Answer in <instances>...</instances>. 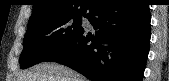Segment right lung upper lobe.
Wrapping results in <instances>:
<instances>
[{
  "label": "right lung upper lobe",
  "mask_w": 169,
  "mask_h": 81,
  "mask_svg": "<svg viewBox=\"0 0 169 81\" xmlns=\"http://www.w3.org/2000/svg\"><path fill=\"white\" fill-rule=\"evenodd\" d=\"M29 23L50 17L84 15L97 5L98 0H33Z\"/></svg>",
  "instance_id": "1"
}]
</instances>
